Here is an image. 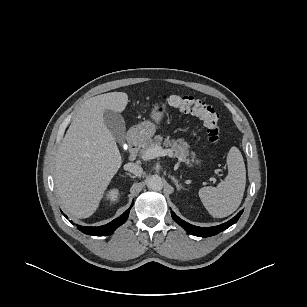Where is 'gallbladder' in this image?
<instances>
[{
  "mask_svg": "<svg viewBox=\"0 0 307 307\" xmlns=\"http://www.w3.org/2000/svg\"><path fill=\"white\" fill-rule=\"evenodd\" d=\"M103 117L104 124L110 130L113 137L119 142H123L126 138V127L121 114L112 110H105Z\"/></svg>",
  "mask_w": 307,
  "mask_h": 307,
  "instance_id": "obj_1",
  "label": "gallbladder"
}]
</instances>
